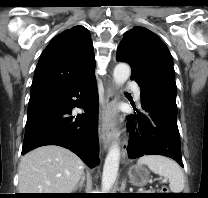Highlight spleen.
I'll list each match as a JSON object with an SVG mask.
<instances>
[{"mask_svg":"<svg viewBox=\"0 0 208 198\" xmlns=\"http://www.w3.org/2000/svg\"><path fill=\"white\" fill-rule=\"evenodd\" d=\"M137 165H147L153 173L169 179L172 193H181L184 189V173L173 160L160 155H145L138 160Z\"/></svg>","mask_w":208,"mask_h":198,"instance_id":"3e777b00","label":"spleen"}]
</instances>
